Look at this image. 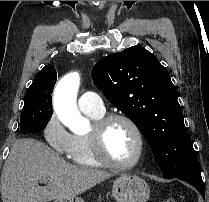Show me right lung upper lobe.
Wrapping results in <instances>:
<instances>
[{"mask_svg": "<svg viewBox=\"0 0 209 202\" xmlns=\"http://www.w3.org/2000/svg\"><path fill=\"white\" fill-rule=\"evenodd\" d=\"M40 78L57 79V73H56V69L54 68V66L50 64L46 65L40 72H38L35 75L34 80H38Z\"/></svg>", "mask_w": 209, "mask_h": 202, "instance_id": "cb5924a9", "label": "right lung upper lobe"}]
</instances>
